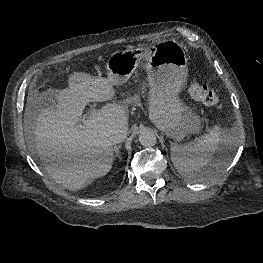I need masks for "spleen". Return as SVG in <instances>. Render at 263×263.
<instances>
[{
	"mask_svg": "<svg viewBox=\"0 0 263 263\" xmlns=\"http://www.w3.org/2000/svg\"><path fill=\"white\" fill-rule=\"evenodd\" d=\"M239 136L236 131H226L215 126L208 134L195 138L184 145L173 144L170 149L171 160L175 168L192 181H203L219 176L230 163V152L239 145ZM225 150V156L220 159L211 173L202 172L219 148Z\"/></svg>",
	"mask_w": 263,
	"mask_h": 263,
	"instance_id": "3e777b00",
	"label": "spleen"
}]
</instances>
